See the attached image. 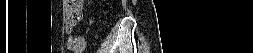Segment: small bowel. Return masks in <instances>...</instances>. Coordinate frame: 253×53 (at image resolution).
<instances>
[{
    "label": "small bowel",
    "instance_id": "obj_1",
    "mask_svg": "<svg viewBox=\"0 0 253 53\" xmlns=\"http://www.w3.org/2000/svg\"><path fill=\"white\" fill-rule=\"evenodd\" d=\"M87 30L88 29H86V31ZM65 31L69 36L66 42L67 47L75 53L82 52L86 45L85 38L83 36L75 35V26L70 25L68 22L65 24Z\"/></svg>",
    "mask_w": 253,
    "mask_h": 53
}]
</instances>
